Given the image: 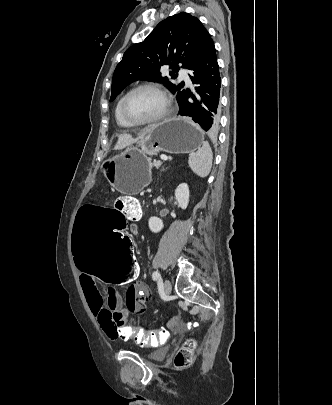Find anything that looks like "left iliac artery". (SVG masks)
<instances>
[{"instance_id":"1","label":"left iliac artery","mask_w":332,"mask_h":405,"mask_svg":"<svg viewBox=\"0 0 332 405\" xmlns=\"http://www.w3.org/2000/svg\"><path fill=\"white\" fill-rule=\"evenodd\" d=\"M152 278L154 281H159L161 280V274L159 271H154L152 274Z\"/></svg>"}]
</instances>
